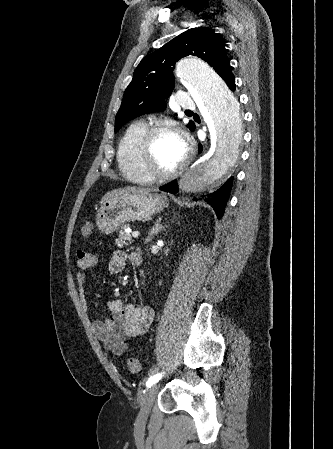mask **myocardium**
Wrapping results in <instances>:
<instances>
[{
  "mask_svg": "<svg viewBox=\"0 0 333 449\" xmlns=\"http://www.w3.org/2000/svg\"><path fill=\"white\" fill-rule=\"evenodd\" d=\"M161 132H170L178 135L185 146V156L179 165L171 171L162 172L155 169L152 165L153 144L156 136ZM139 164L142 172L151 181H167L178 176L189 164L191 158V152L188 145L184 142L179 131L171 124L166 122H154L148 125L142 134V137L138 146Z\"/></svg>",
  "mask_w": 333,
  "mask_h": 449,
  "instance_id": "f54148a6",
  "label": "myocardium"
}]
</instances>
